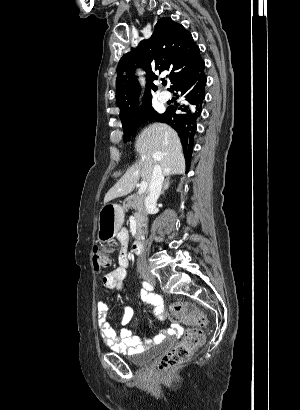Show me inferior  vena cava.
Returning a JSON list of instances; mask_svg holds the SVG:
<instances>
[{"label":"inferior vena cava","instance_id":"obj_1","mask_svg":"<svg viewBox=\"0 0 300 410\" xmlns=\"http://www.w3.org/2000/svg\"><path fill=\"white\" fill-rule=\"evenodd\" d=\"M164 181V174L162 168L159 165L153 167L152 177L149 183L147 196L144 204L146 212L149 214L156 208L157 200L161 194V189ZM137 268L139 270L147 269L146 255L141 254L137 259Z\"/></svg>","mask_w":300,"mask_h":410}]
</instances>
